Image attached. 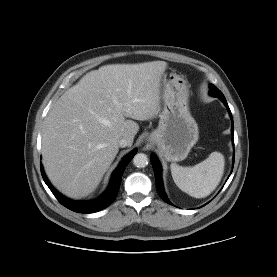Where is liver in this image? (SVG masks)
Segmentation results:
<instances>
[{"instance_id": "6515ba94", "label": "liver", "mask_w": 277, "mask_h": 277, "mask_svg": "<svg viewBox=\"0 0 277 277\" xmlns=\"http://www.w3.org/2000/svg\"><path fill=\"white\" fill-rule=\"evenodd\" d=\"M165 61L112 64L84 75L50 109L42 157L51 183L71 198L92 193L115 159L118 140L132 145L139 125L160 109Z\"/></svg>"}]
</instances>
